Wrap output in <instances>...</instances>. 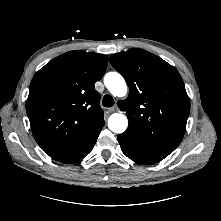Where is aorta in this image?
<instances>
[{
    "label": "aorta",
    "instance_id": "aorta-1",
    "mask_svg": "<svg viewBox=\"0 0 221 221\" xmlns=\"http://www.w3.org/2000/svg\"><path fill=\"white\" fill-rule=\"evenodd\" d=\"M104 84L115 97H124L127 94V84L117 72L107 73L104 77ZM108 127L114 133H123L128 127V119L124 114L114 113L108 119Z\"/></svg>",
    "mask_w": 221,
    "mask_h": 221
}]
</instances>
